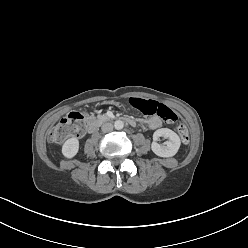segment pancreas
I'll list each match as a JSON object with an SVG mask.
<instances>
[{"instance_id": "pancreas-1", "label": "pancreas", "mask_w": 248, "mask_h": 248, "mask_svg": "<svg viewBox=\"0 0 248 248\" xmlns=\"http://www.w3.org/2000/svg\"><path fill=\"white\" fill-rule=\"evenodd\" d=\"M96 118L99 122H105V121L109 120V117L105 114H99V115H97Z\"/></svg>"}]
</instances>
